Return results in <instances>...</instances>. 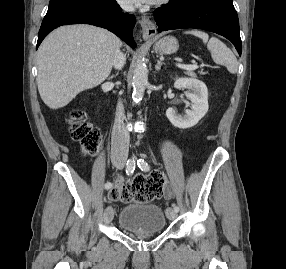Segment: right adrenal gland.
I'll list each match as a JSON object with an SVG mask.
<instances>
[{"label":"right adrenal gland","instance_id":"1","mask_svg":"<svg viewBox=\"0 0 286 269\" xmlns=\"http://www.w3.org/2000/svg\"><path fill=\"white\" fill-rule=\"evenodd\" d=\"M117 74H118V73H117ZM117 74H116V75H117ZM113 77H114V75H113V76H111V77H110V79H112Z\"/></svg>","mask_w":286,"mask_h":269}]
</instances>
